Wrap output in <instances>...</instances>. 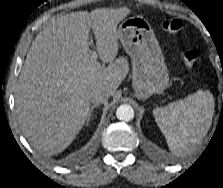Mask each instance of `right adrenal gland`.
Listing matches in <instances>:
<instances>
[{
    "mask_svg": "<svg viewBox=\"0 0 223 188\" xmlns=\"http://www.w3.org/2000/svg\"><path fill=\"white\" fill-rule=\"evenodd\" d=\"M97 106H98L97 104H94V105L91 106L88 117H87V125H88V123L90 121V118L92 116L93 109L96 108Z\"/></svg>",
    "mask_w": 223,
    "mask_h": 188,
    "instance_id": "1",
    "label": "right adrenal gland"
}]
</instances>
